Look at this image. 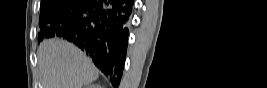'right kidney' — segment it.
<instances>
[{"instance_id": "right-kidney-1", "label": "right kidney", "mask_w": 267, "mask_h": 88, "mask_svg": "<svg viewBox=\"0 0 267 88\" xmlns=\"http://www.w3.org/2000/svg\"><path fill=\"white\" fill-rule=\"evenodd\" d=\"M85 88H101V86L97 83L88 84Z\"/></svg>"}]
</instances>
